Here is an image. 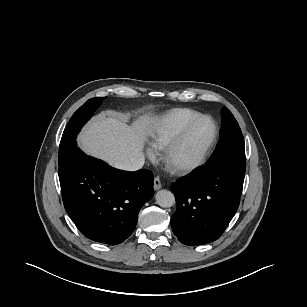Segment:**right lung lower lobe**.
<instances>
[{
    "mask_svg": "<svg viewBox=\"0 0 307 307\" xmlns=\"http://www.w3.org/2000/svg\"><path fill=\"white\" fill-rule=\"evenodd\" d=\"M65 210L87 238L109 245L134 231L141 207L152 198L153 173L117 170L77 146L59 164Z\"/></svg>",
    "mask_w": 307,
    "mask_h": 307,
    "instance_id": "1",
    "label": "right lung lower lobe"
}]
</instances>
